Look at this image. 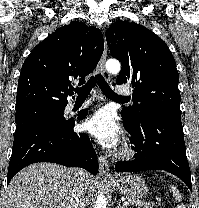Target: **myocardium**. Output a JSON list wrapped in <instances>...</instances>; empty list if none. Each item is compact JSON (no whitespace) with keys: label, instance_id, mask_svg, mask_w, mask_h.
Masks as SVG:
<instances>
[{"label":"myocardium","instance_id":"myocardium-1","mask_svg":"<svg viewBox=\"0 0 199 208\" xmlns=\"http://www.w3.org/2000/svg\"><path fill=\"white\" fill-rule=\"evenodd\" d=\"M134 154V150L131 145L125 144L119 150H117L114 156L118 159H128L132 157Z\"/></svg>","mask_w":199,"mask_h":208}]
</instances>
